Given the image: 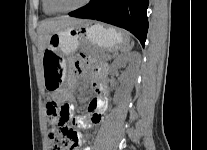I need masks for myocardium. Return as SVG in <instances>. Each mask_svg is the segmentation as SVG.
<instances>
[{
  "label": "myocardium",
  "instance_id": "1",
  "mask_svg": "<svg viewBox=\"0 0 207 150\" xmlns=\"http://www.w3.org/2000/svg\"><path fill=\"white\" fill-rule=\"evenodd\" d=\"M91 0H83L79 5L69 8V9H62L60 7L57 6L55 0H48L50 7L52 8V10H54L56 13H69V12H73L76 10H79L83 7H85Z\"/></svg>",
  "mask_w": 207,
  "mask_h": 150
}]
</instances>
